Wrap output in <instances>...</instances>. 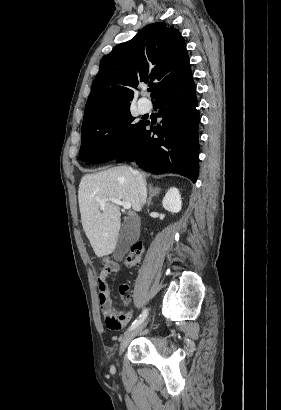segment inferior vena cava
Here are the masks:
<instances>
[{"label":"inferior vena cava","instance_id":"1","mask_svg":"<svg viewBox=\"0 0 281 410\" xmlns=\"http://www.w3.org/2000/svg\"><path fill=\"white\" fill-rule=\"evenodd\" d=\"M132 171L135 174L136 182L138 185L139 199H140L141 205L143 206L146 203V198H147L146 185H145L143 177L137 171H134V170Z\"/></svg>","mask_w":281,"mask_h":410}]
</instances>
